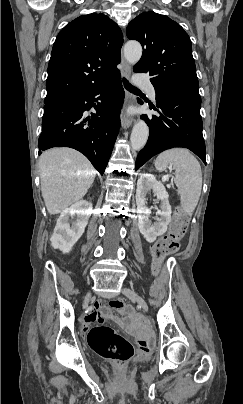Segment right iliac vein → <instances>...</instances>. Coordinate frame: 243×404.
Segmentation results:
<instances>
[{
  "mask_svg": "<svg viewBox=\"0 0 243 404\" xmlns=\"http://www.w3.org/2000/svg\"><path fill=\"white\" fill-rule=\"evenodd\" d=\"M90 298H91V293H90V292H88V293L86 294V296H85V300H84V304H85V306H87V305H88V303H89V301H90Z\"/></svg>",
  "mask_w": 243,
  "mask_h": 404,
  "instance_id": "right-iliac-vein-1",
  "label": "right iliac vein"
}]
</instances>
